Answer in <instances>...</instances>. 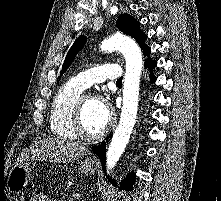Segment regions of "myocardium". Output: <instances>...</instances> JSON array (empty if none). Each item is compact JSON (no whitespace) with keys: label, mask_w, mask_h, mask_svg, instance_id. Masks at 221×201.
<instances>
[{"label":"myocardium","mask_w":221,"mask_h":201,"mask_svg":"<svg viewBox=\"0 0 221 201\" xmlns=\"http://www.w3.org/2000/svg\"><path fill=\"white\" fill-rule=\"evenodd\" d=\"M88 99H94V100L100 101L101 103L104 102L103 98L98 95H87V96L80 97L74 110L73 130L77 137L84 139V140H88V141H94V140H98L102 138L112 129L114 125V119L113 117L110 116L108 124L99 133H96V134L87 133L83 126V112H84L85 104Z\"/></svg>","instance_id":"myocardium-1"}]
</instances>
